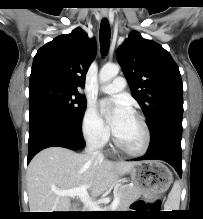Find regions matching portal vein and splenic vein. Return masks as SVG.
<instances>
[{
    "label": "portal vein and splenic vein",
    "mask_w": 203,
    "mask_h": 219,
    "mask_svg": "<svg viewBox=\"0 0 203 219\" xmlns=\"http://www.w3.org/2000/svg\"><path fill=\"white\" fill-rule=\"evenodd\" d=\"M57 195L60 196H69V197H76L78 196L80 200L84 203L85 206H87L90 211H106V208L102 209L97 203L93 202L87 192V186L83 185L78 188L70 189V190H64V191H56ZM120 198L118 195L114 197V200L110 204L109 209H116L118 207Z\"/></svg>",
    "instance_id": "portal-vein-and-splenic-vein-1"
}]
</instances>
